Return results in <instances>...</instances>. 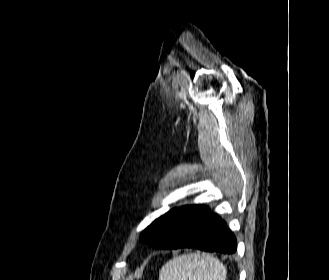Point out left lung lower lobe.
I'll list each match as a JSON object with an SVG mask.
<instances>
[{
    "label": "left lung lower lobe",
    "instance_id": "left-lung-lower-lobe-1",
    "mask_svg": "<svg viewBox=\"0 0 329 280\" xmlns=\"http://www.w3.org/2000/svg\"><path fill=\"white\" fill-rule=\"evenodd\" d=\"M169 237L164 249L197 248L204 251L234 253L236 239L217 214L201 205L182 206L168 212L160 226Z\"/></svg>",
    "mask_w": 329,
    "mask_h": 280
}]
</instances>
